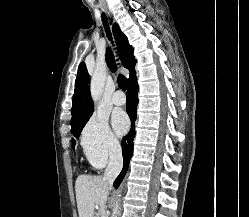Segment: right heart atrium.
I'll use <instances>...</instances> for the list:
<instances>
[{
	"label": "right heart atrium",
	"mask_w": 249,
	"mask_h": 217,
	"mask_svg": "<svg viewBox=\"0 0 249 217\" xmlns=\"http://www.w3.org/2000/svg\"><path fill=\"white\" fill-rule=\"evenodd\" d=\"M81 147L86 160L95 168H102L119 150V143L106 117L92 115L81 132Z\"/></svg>",
	"instance_id": "1"
}]
</instances>
